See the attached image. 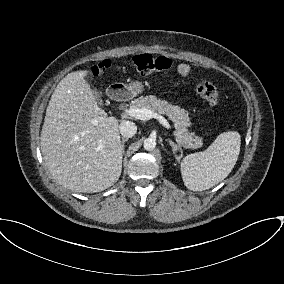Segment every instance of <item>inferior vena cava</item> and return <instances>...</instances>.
<instances>
[{
	"label": "inferior vena cava",
	"mask_w": 284,
	"mask_h": 284,
	"mask_svg": "<svg viewBox=\"0 0 284 284\" xmlns=\"http://www.w3.org/2000/svg\"><path fill=\"white\" fill-rule=\"evenodd\" d=\"M120 133L125 138L133 137L137 132V126L131 121H122L119 126Z\"/></svg>",
	"instance_id": "1"
}]
</instances>
